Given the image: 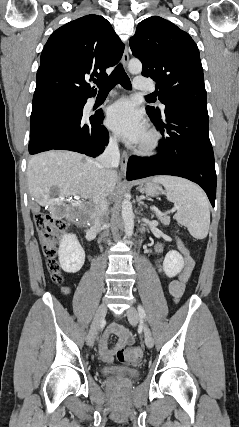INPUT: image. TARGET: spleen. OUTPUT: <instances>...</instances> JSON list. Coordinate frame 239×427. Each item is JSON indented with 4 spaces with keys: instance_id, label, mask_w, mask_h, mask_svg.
I'll return each mask as SVG.
<instances>
[{
    "instance_id": "spleen-1",
    "label": "spleen",
    "mask_w": 239,
    "mask_h": 427,
    "mask_svg": "<svg viewBox=\"0 0 239 427\" xmlns=\"http://www.w3.org/2000/svg\"><path fill=\"white\" fill-rule=\"evenodd\" d=\"M153 182L162 184L167 199L178 205L175 219L196 239H204L210 226L209 201L196 184L174 176H155Z\"/></svg>"
}]
</instances>
